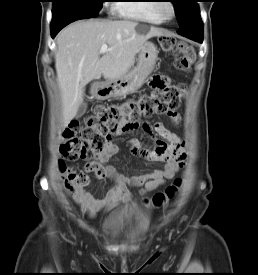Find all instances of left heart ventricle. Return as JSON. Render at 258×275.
I'll return each instance as SVG.
<instances>
[{"label":"left heart ventricle","instance_id":"1","mask_svg":"<svg viewBox=\"0 0 258 275\" xmlns=\"http://www.w3.org/2000/svg\"><path fill=\"white\" fill-rule=\"evenodd\" d=\"M164 13L166 14V15H170V13H171V9L169 8V7H164Z\"/></svg>","mask_w":258,"mask_h":275}]
</instances>
